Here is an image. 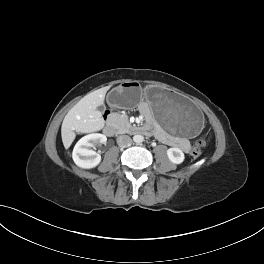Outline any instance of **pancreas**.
<instances>
[{
	"label": "pancreas",
	"instance_id": "1",
	"mask_svg": "<svg viewBox=\"0 0 264 264\" xmlns=\"http://www.w3.org/2000/svg\"><path fill=\"white\" fill-rule=\"evenodd\" d=\"M111 118L114 121L115 126L121 131H126L131 127V124L129 123L128 117L126 115L113 113L111 115Z\"/></svg>",
	"mask_w": 264,
	"mask_h": 264
}]
</instances>
